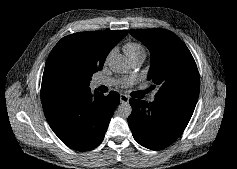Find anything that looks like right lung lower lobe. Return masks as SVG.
<instances>
[{
	"label": "right lung lower lobe",
	"instance_id": "98d812e1",
	"mask_svg": "<svg viewBox=\"0 0 237 169\" xmlns=\"http://www.w3.org/2000/svg\"><path fill=\"white\" fill-rule=\"evenodd\" d=\"M119 101L115 91L108 96L97 91L93 95L88 87L43 109L51 129L63 143L87 151L102 142Z\"/></svg>",
	"mask_w": 237,
	"mask_h": 169
}]
</instances>
